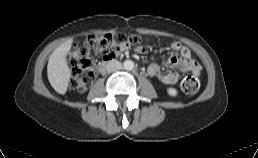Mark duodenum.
Here are the masks:
<instances>
[{"mask_svg": "<svg viewBox=\"0 0 258 158\" xmlns=\"http://www.w3.org/2000/svg\"><path fill=\"white\" fill-rule=\"evenodd\" d=\"M113 61V57L105 58L98 66V72H103L106 66Z\"/></svg>", "mask_w": 258, "mask_h": 158, "instance_id": "1", "label": "duodenum"}]
</instances>
